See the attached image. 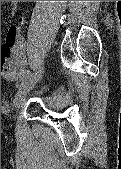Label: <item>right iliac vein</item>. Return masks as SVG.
<instances>
[{
	"mask_svg": "<svg viewBox=\"0 0 121 169\" xmlns=\"http://www.w3.org/2000/svg\"><path fill=\"white\" fill-rule=\"evenodd\" d=\"M44 73V67H40L35 74L31 75L28 79L24 80L15 95L13 106L17 108L23 97L30 91L42 78Z\"/></svg>",
	"mask_w": 121,
	"mask_h": 169,
	"instance_id": "obj_1",
	"label": "right iliac vein"
}]
</instances>
